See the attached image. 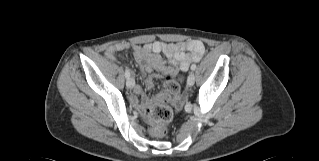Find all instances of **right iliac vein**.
Segmentation results:
<instances>
[{
    "label": "right iliac vein",
    "instance_id": "obj_1",
    "mask_svg": "<svg viewBox=\"0 0 319 161\" xmlns=\"http://www.w3.org/2000/svg\"><path fill=\"white\" fill-rule=\"evenodd\" d=\"M135 82H134V79L132 77H129L126 81V85L128 88H133Z\"/></svg>",
    "mask_w": 319,
    "mask_h": 161
}]
</instances>
